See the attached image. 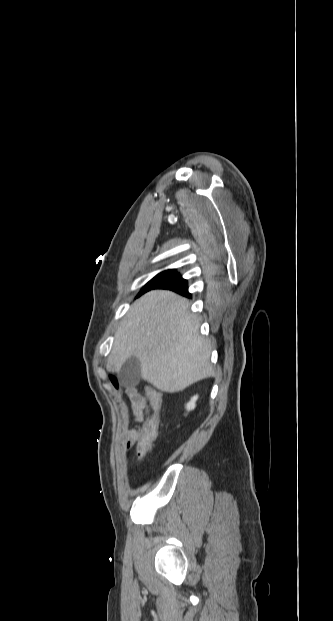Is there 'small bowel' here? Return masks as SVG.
Masks as SVG:
<instances>
[{
    "label": "small bowel",
    "mask_w": 333,
    "mask_h": 621,
    "mask_svg": "<svg viewBox=\"0 0 333 621\" xmlns=\"http://www.w3.org/2000/svg\"><path fill=\"white\" fill-rule=\"evenodd\" d=\"M110 383L114 387V389L118 390L119 385L115 378L110 374L109 375ZM150 388L146 389V395H142L139 391L134 387H128L125 390V395L130 401V410L132 414V420L135 424L144 423L147 417L151 413L150 399H149ZM140 429L134 427L128 431V443L127 448L131 445L137 443L139 437Z\"/></svg>",
    "instance_id": "1"
}]
</instances>
